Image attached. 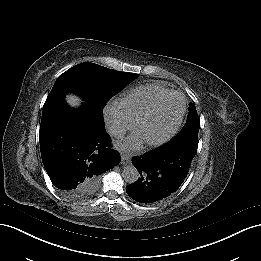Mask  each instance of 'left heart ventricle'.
Segmentation results:
<instances>
[{
  "instance_id": "left-heart-ventricle-1",
  "label": "left heart ventricle",
  "mask_w": 261,
  "mask_h": 261,
  "mask_svg": "<svg viewBox=\"0 0 261 261\" xmlns=\"http://www.w3.org/2000/svg\"><path fill=\"white\" fill-rule=\"evenodd\" d=\"M182 110V101L176 98L165 109L148 115L142 119L138 127V135L142 138L152 139L165 134L178 120Z\"/></svg>"
}]
</instances>
